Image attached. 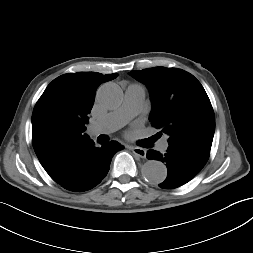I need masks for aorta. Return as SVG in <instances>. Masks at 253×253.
I'll list each match as a JSON object with an SVG mask.
<instances>
[{
  "mask_svg": "<svg viewBox=\"0 0 253 253\" xmlns=\"http://www.w3.org/2000/svg\"><path fill=\"white\" fill-rule=\"evenodd\" d=\"M98 103L107 109L121 105L123 94L121 88L114 83H106L97 91ZM142 175L152 184L162 183L167 177L166 166L157 160H149L142 167Z\"/></svg>",
  "mask_w": 253,
  "mask_h": 253,
  "instance_id": "obj_1",
  "label": "aorta"
}]
</instances>
